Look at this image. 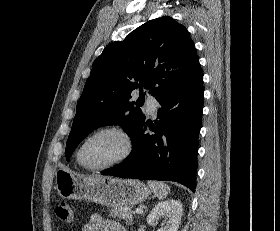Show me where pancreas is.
I'll use <instances>...</instances> for the list:
<instances>
[{
    "mask_svg": "<svg viewBox=\"0 0 280 231\" xmlns=\"http://www.w3.org/2000/svg\"><path fill=\"white\" fill-rule=\"evenodd\" d=\"M110 215H112V217H121V219H125L127 225H130L133 219L129 205H118V207H114V209H111Z\"/></svg>",
    "mask_w": 280,
    "mask_h": 231,
    "instance_id": "cf45deb5",
    "label": "pancreas"
}]
</instances>
